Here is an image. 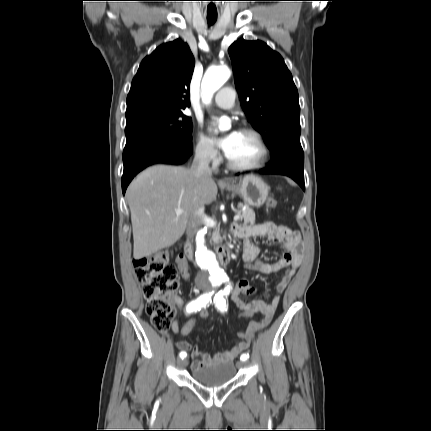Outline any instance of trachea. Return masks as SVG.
<instances>
[{
  "label": "trachea",
  "mask_w": 431,
  "mask_h": 431,
  "mask_svg": "<svg viewBox=\"0 0 431 431\" xmlns=\"http://www.w3.org/2000/svg\"><path fill=\"white\" fill-rule=\"evenodd\" d=\"M217 20V17H207V22L209 26H212Z\"/></svg>",
  "instance_id": "3493384b"
}]
</instances>
